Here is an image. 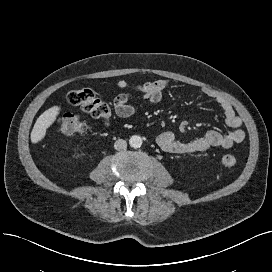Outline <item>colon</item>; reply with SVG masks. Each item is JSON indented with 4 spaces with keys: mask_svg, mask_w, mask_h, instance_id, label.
<instances>
[{
    "mask_svg": "<svg viewBox=\"0 0 272 272\" xmlns=\"http://www.w3.org/2000/svg\"><path fill=\"white\" fill-rule=\"evenodd\" d=\"M67 101L73 106L80 107L92 117L101 119L106 124L110 122L112 111L109 104L98 98L90 89H78L69 92ZM58 126L59 131L66 135L82 133L88 128L79 116L73 114L60 116ZM221 161L228 168H233L237 164V158L232 154L224 155Z\"/></svg>",
    "mask_w": 272,
    "mask_h": 272,
    "instance_id": "5ec220e1",
    "label": "colon"
}]
</instances>
